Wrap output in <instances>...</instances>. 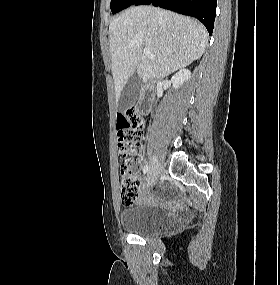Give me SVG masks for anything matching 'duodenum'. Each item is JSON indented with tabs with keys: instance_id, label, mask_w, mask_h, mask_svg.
<instances>
[{
	"instance_id": "obj_1",
	"label": "duodenum",
	"mask_w": 280,
	"mask_h": 285,
	"mask_svg": "<svg viewBox=\"0 0 280 285\" xmlns=\"http://www.w3.org/2000/svg\"><path fill=\"white\" fill-rule=\"evenodd\" d=\"M151 102V96L148 94V91L146 90L143 96V99L140 101L139 106L147 111L149 104Z\"/></svg>"
}]
</instances>
